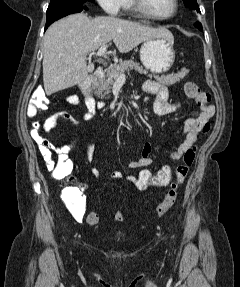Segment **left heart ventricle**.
I'll return each instance as SVG.
<instances>
[{"label": "left heart ventricle", "mask_w": 240, "mask_h": 287, "mask_svg": "<svg viewBox=\"0 0 240 287\" xmlns=\"http://www.w3.org/2000/svg\"><path fill=\"white\" fill-rule=\"evenodd\" d=\"M148 9L157 16H166L173 10V0H145Z\"/></svg>", "instance_id": "1"}]
</instances>
